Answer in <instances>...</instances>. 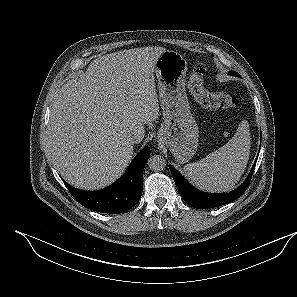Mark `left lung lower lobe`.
<instances>
[{"mask_svg":"<svg viewBox=\"0 0 297 297\" xmlns=\"http://www.w3.org/2000/svg\"><path fill=\"white\" fill-rule=\"evenodd\" d=\"M258 155L244 183L239 188L229 193L212 194V193H204V192L198 191L195 188H193L178 171H176L174 168L170 166L169 168L171 170L176 187L181 197L183 198V200L188 205L194 208L207 209V208H213V207L230 203L236 200L237 198H239L245 192V190L247 189L251 181V178L255 169V165L258 159Z\"/></svg>","mask_w":297,"mask_h":297,"instance_id":"left-lung-lower-lobe-1","label":"left lung lower lobe"}]
</instances>
